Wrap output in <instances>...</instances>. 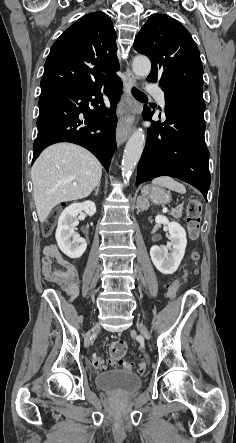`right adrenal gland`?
Listing matches in <instances>:
<instances>
[{"label": "right adrenal gland", "instance_id": "2a0ac1e0", "mask_svg": "<svg viewBox=\"0 0 236 443\" xmlns=\"http://www.w3.org/2000/svg\"><path fill=\"white\" fill-rule=\"evenodd\" d=\"M99 187H100V184H98V185H97V188L95 189V193H94L95 195H98Z\"/></svg>", "mask_w": 236, "mask_h": 443}]
</instances>
